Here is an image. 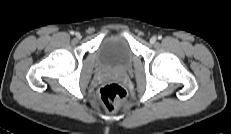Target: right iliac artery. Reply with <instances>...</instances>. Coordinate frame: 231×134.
<instances>
[{
	"instance_id": "1",
	"label": "right iliac artery",
	"mask_w": 231,
	"mask_h": 134,
	"mask_svg": "<svg viewBox=\"0 0 231 134\" xmlns=\"http://www.w3.org/2000/svg\"><path fill=\"white\" fill-rule=\"evenodd\" d=\"M70 34H71V35H74V34H75V32H74V31H71V32H70Z\"/></svg>"
}]
</instances>
